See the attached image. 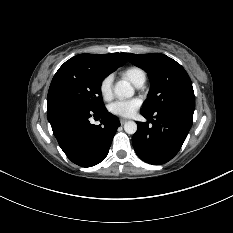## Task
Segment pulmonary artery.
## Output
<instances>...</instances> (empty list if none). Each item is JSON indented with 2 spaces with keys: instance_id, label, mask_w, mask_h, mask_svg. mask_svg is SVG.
I'll use <instances>...</instances> for the list:
<instances>
[{
  "instance_id": "pulmonary-artery-1",
  "label": "pulmonary artery",
  "mask_w": 233,
  "mask_h": 233,
  "mask_svg": "<svg viewBox=\"0 0 233 233\" xmlns=\"http://www.w3.org/2000/svg\"><path fill=\"white\" fill-rule=\"evenodd\" d=\"M143 84L139 85L138 87H141Z\"/></svg>"
}]
</instances>
